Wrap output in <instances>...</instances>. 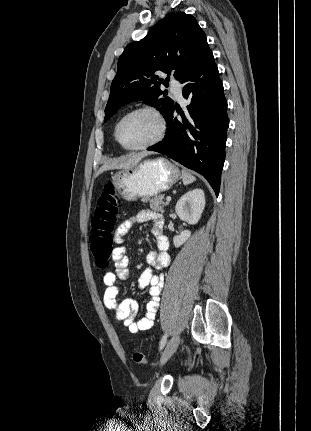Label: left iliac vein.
<instances>
[{"instance_id": "4c4485c4", "label": "left iliac vein", "mask_w": 311, "mask_h": 431, "mask_svg": "<svg viewBox=\"0 0 311 431\" xmlns=\"http://www.w3.org/2000/svg\"><path fill=\"white\" fill-rule=\"evenodd\" d=\"M180 343V336L178 334H175L167 343L161 359H160V365L165 364L168 359L173 355V353L176 351L178 345Z\"/></svg>"}]
</instances>
